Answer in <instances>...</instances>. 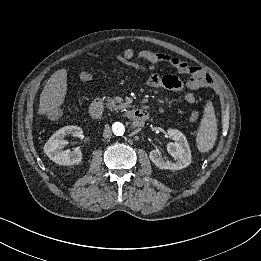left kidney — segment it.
Returning <instances> with one entry per match:
<instances>
[{"instance_id":"left-kidney-1","label":"left kidney","mask_w":261,"mask_h":261,"mask_svg":"<svg viewBox=\"0 0 261 261\" xmlns=\"http://www.w3.org/2000/svg\"><path fill=\"white\" fill-rule=\"evenodd\" d=\"M167 135L174 141L167 144V151L175 162L165 161L160 157L159 150L150 152L151 161L160 169L180 170L186 168L191 163V150L185 135L177 129H168Z\"/></svg>"}]
</instances>
